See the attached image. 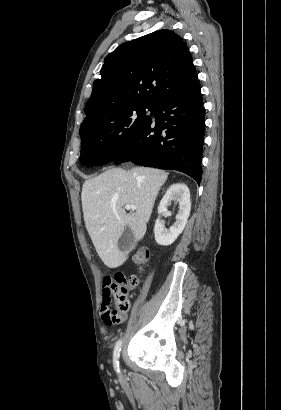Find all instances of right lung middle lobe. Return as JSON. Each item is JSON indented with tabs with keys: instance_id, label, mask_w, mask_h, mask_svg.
Instances as JSON below:
<instances>
[{
	"instance_id": "obj_1",
	"label": "right lung middle lobe",
	"mask_w": 281,
	"mask_h": 410,
	"mask_svg": "<svg viewBox=\"0 0 281 410\" xmlns=\"http://www.w3.org/2000/svg\"><path fill=\"white\" fill-rule=\"evenodd\" d=\"M146 108L152 110L151 106L146 105L115 108L82 123L81 163L95 166L114 161L150 121Z\"/></svg>"
}]
</instances>
